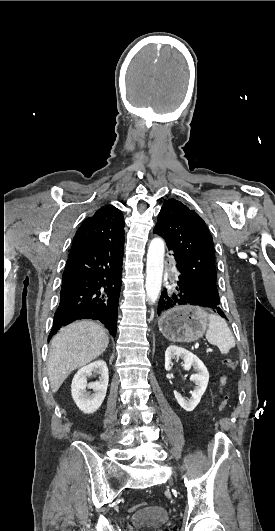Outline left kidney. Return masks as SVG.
I'll return each mask as SVG.
<instances>
[{
  "label": "left kidney",
  "instance_id": "left-kidney-1",
  "mask_svg": "<svg viewBox=\"0 0 275 531\" xmlns=\"http://www.w3.org/2000/svg\"><path fill=\"white\" fill-rule=\"evenodd\" d=\"M175 357H181V359H183L184 369H191V367H194V369L197 371L196 375H191L190 377V381H194L195 385H198V387H195L193 393H191V399H183V397H181L177 391H173L175 399L178 401L180 407L190 413V411H194L195 407H197L198 403H200L201 397L207 389V385L209 383V373L204 363H202V361H200L196 355H193V353H190V351H187V349H182V347H175V345H170V347H168V349L165 351L166 371H171V359H175Z\"/></svg>",
  "mask_w": 275,
  "mask_h": 531
}]
</instances>
